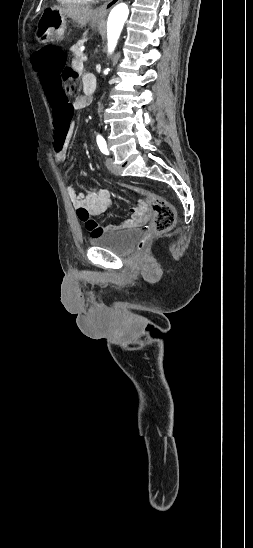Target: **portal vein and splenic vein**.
Listing matches in <instances>:
<instances>
[{
  "label": "portal vein and splenic vein",
  "instance_id": "18ae733b",
  "mask_svg": "<svg viewBox=\"0 0 253 548\" xmlns=\"http://www.w3.org/2000/svg\"><path fill=\"white\" fill-rule=\"evenodd\" d=\"M81 59H82L83 61H86L88 58H87V56L83 55Z\"/></svg>",
  "mask_w": 253,
  "mask_h": 548
}]
</instances>
